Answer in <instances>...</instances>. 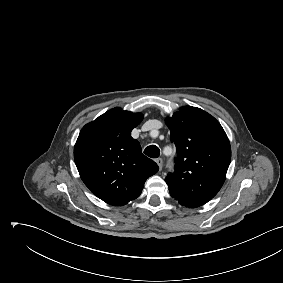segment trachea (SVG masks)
<instances>
[{
    "label": "trachea",
    "mask_w": 283,
    "mask_h": 283,
    "mask_svg": "<svg viewBox=\"0 0 283 283\" xmlns=\"http://www.w3.org/2000/svg\"><path fill=\"white\" fill-rule=\"evenodd\" d=\"M144 154L150 158H158L160 155V150L156 145H150L145 148Z\"/></svg>",
    "instance_id": "3493384b"
}]
</instances>
